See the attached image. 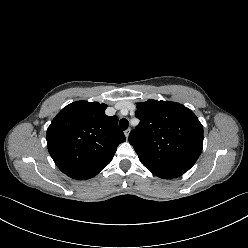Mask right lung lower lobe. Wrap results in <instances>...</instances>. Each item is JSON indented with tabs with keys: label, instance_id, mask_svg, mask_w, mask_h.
<instances>
[{
	"label": "right lung lower lobe",
	"instance_id": "right-lung-lower-lobe-1",
	"mask_svg": "<svg viewBox=\"0 0 248 248\" xmlns=\"http://www.w3.org/2000/svg\"><path fill=\"white\" fill-rule=\"evenodd\" d=\"M98 173H99V172L93 173V174H87V175L73 176V177H71V178L80 179V180L89 179V178L94 177V176H95L96 174H98Z\"/></svg>",
	"mask_w": 248,
	"mask_h": 248
}]
</instances>
